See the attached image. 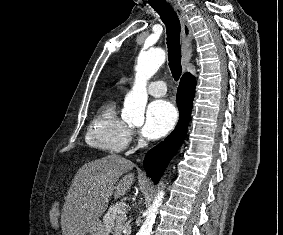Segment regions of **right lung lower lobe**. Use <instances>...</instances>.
<instances>
[{"mask_svg": "<svg viewBox=\"0 0 283 235\" xmlns=\"http://www.w3.org/2000/svg\"><path fill=\"white\" fill-rule=\"evenodd\" d=\"M195 77L190 73L183 75L176 97L179 109V122L175 130L156 147L147 152L144 159V169L155 184L158 183L162 173L175 152L184 140L187 125L190 119L192 103L195 94Z\"/></svg>", "mask_w": 283, "mask_h": 235, "instance_id": "98d812e1", "label": "right lung lower lobe"}]
</instances>
